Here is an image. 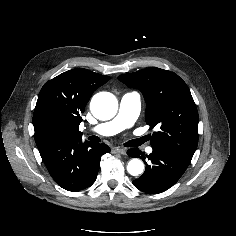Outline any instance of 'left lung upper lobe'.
Returning <instances> with one entry per match:
<instances>
[{
	"mask_svg": "<svg viewBox=\"0 0 236 236\" xmlns=\"http://www.w3.org/2000/svg\"><path fill=\"white\" fill-rule=\"evenodd\" d=\"M118 79L139 89L146 101V123L160 130L149 135L152 146L193 157L198 145V111L186 83L157 67L123 74Z\"/></svg>",
	"mask_w": 236,
	"mask_h": 236,
	"instance_id": "obj_1",
	"label": "left lung upper lobe"
}]
</instances>
